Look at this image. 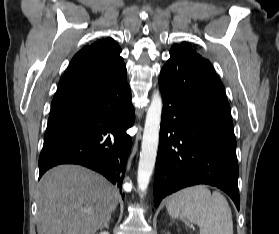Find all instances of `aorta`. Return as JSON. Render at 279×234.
<instances>
[{"instance_id":"762f6f07","label":"aorta","mask_w":279,"mask_h":234,"mask_svg":"<svg viewBox=\"0 0 279 234\" xmlns=\"http://www.w3.org/2000/svg\"><path fill=\"white\" fill-rule=\"evenodd\" d=\"M162 107L163 102L161 94L158 91L154 92L146 114L138 164L137 183L141 192L147 189L155 167Z\"/></svg>"}]
</instances>
